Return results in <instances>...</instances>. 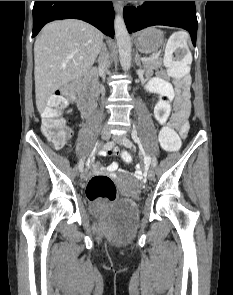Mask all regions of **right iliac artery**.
Segmentation results:
<instances>
[{"label":"right iliac artery","mask_w":233,"mask_h":295,"mask_svg":"<svg viewBox=\"0 0 233 295\" xmlns=\"http://www.w3.org/2000/svg\"><path fill=\"white\" fill-rule=\"evenodd\" d=\"M114 144L112 142L107 143L104 145V150H108L109 147L113 146ZM84 167V159H81L78 165L79 171H82Z\"/></svg>","instance_id":"1"}]
</instances>
